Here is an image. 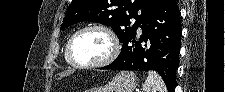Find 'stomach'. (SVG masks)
Returning a JSON list of instances; mask_svg holds the SVG:
<instances>
[{
	"label": "stomach",
	"mask_w": 225,
	"mask_h": 92,
	"mask_svg": "<svg viewBox=\"0 0 225 92\" xmlns=\"http://www.w3.org/2000/svg\"><path fill=\"white\" fill-rule=\"evenodd\" d=\"M137 86V77L132 71H121L109 83L93 88L89 92H133Z\"/></svg>",
	"instance_id": "stomach-1"
}]
</instances>
